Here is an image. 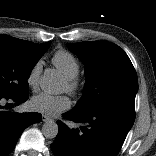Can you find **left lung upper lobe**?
Listing matches in <instances>:
<instances>
[{
	"label": "left lung upper lobe",
	"instance_id": "left-lung-upper-lobe-1",
	"mask_svg": "<svg viewBox=\"0 0 156 156\" xmlns=\"http://www.w3.org/2000/svg\"><path fill=\"white\" fill-rule=\"evenodd\" d=\"M67 47L85 63L86 73L83 96L73 111L85 112L105 106L134 111L137 74L119 46L106 41H87L69 43Z\"/></svg>",
	"mask_w": 156,
	"mask_h": 156
}]
</instances>
